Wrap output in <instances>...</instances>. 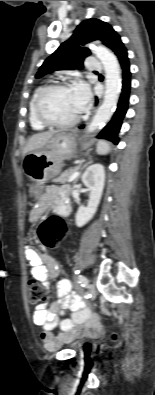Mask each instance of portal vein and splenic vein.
<instances>
[{"instance_id": "portal-vein-and-splenic-vein-1", "label": "portal vein and splenic vein", "mask_w": 155, "mask_h": 395, "mask_svg": "<svg viewBox=\"0 0 155 395\" xmlns=\"http://www.w3.org/2000/svg\"><path fill=\"white\" fill-rule=\"evenodd\" d=\"M77 176H78V172L76 171L69 177L68 182L73 181Z\"/></svg>"}]
</instances>
